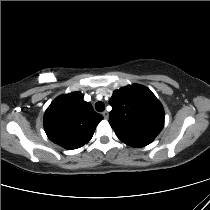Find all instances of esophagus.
Returning <instances> with one entry per match:
<instances>
[{"label":"esophagus","mask_w":210,"mask_h":210,"mask_svg":"<svg viewBox=\"0 0 210 210\" xmlns=\"http://www.w3.org/2000/svg\"><path fill=\"white\" fill-rule=\"evenodd\" d=\"M102 115H103L104 119H108V117H109V114H108V112H106V111H104V112L102 113Z\"/></svg>","instance_id":"34e87169"}]
</instances>
